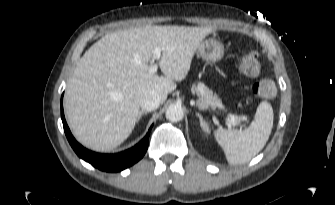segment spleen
<instances>
[{"label": "spleen", "instance_id": "spleen-1", "mask_svg": "<svg viewBox=\"0 0 335 205\" xmlns=\"http://www.w3.org/2000/svg\"><path fill=\"white\" fill-rule=\"evenodd\" d=\"M273 108L268 102H261L254 121L245 130L218 129L214 136L225 152L230 164L250 161L266 145L273 127Z\"/></svg>", "mask_w": 335, "mask_h": 205}]
</instances>
